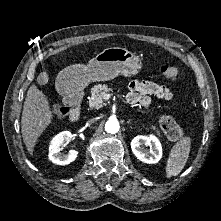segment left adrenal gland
I'll return each mask as SVG.
<instances>
[{"label": "left adrenal gland", "mask_w": 221, "mask_h": 221, "mask_svg": "<svg viewBox=\"0 0 221 221\" xmlns=\"http://www.w3.org/2000/svg\"><path fill=\"white\" fill-rule=\"evenodd\" d=\"M130 123H131V120H128V121H127V124L129 125Z\"/></svg>", "instance_id": "left-adrenal-gland-1"}]
</instances>
